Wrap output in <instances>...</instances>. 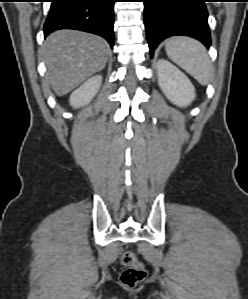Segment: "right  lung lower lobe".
Instances as JSON below:
<instances>
[{
  "instance_id": "1",
  "label": "right lung lower lobe",
  "mask_w": 248,
  "mask_h": 299,
  "mask_svg": "<svg viewBox=\"0 0 248 299\" xmlns=\"http://www.w3.org/2000/svg\"><path fill=\"white\" fill-rule=\"evenodd\" d=\"M115 0H52L44 25V36L59 29L94 33L114 45Z\"/></svg>"
}]
</instances>
